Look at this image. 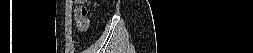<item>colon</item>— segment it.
Here are the masks:
<instances>
[{"label":"colon","mask_w":253,"mask_h":53,"mask_svg":"<svg viewBox=\"0 0 253 53\" xmlns=\"http://www.w3.org/2000/svg\"><path fill=\"white\" fill-rule=\"evenodd\" d=\"M87 14H88L87 8L84 6H80L76 10L77 22L81 29H87L89 27Z\"/></svg>","instance_id":"1"}]
</instances>
